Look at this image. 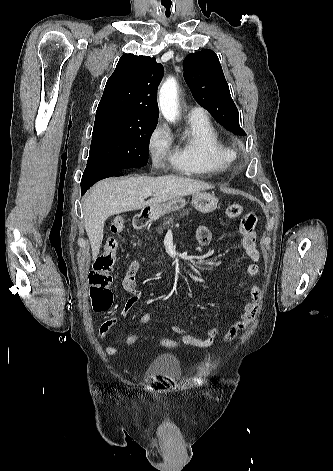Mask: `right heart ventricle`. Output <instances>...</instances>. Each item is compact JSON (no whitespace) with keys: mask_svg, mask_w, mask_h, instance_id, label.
I'll return each mask as SVG.
<instances>
[{"mask_svg":"<svg viewBox=\"0 0 333 471\" xmlns=\"http://www.w3.org/2000/svg\"><path fill=\"white\" fill-rule=\"evenodd\" d=\"M231 160L230 147L206 115L189 118L184 134L171 152L173 166L189 175L222 172Z\"/></svg>","mask_w":333,"mask_h":471,"instance_id":"right-heart-ventricle-1","label":"right heart ventricle"}]
</instances>
